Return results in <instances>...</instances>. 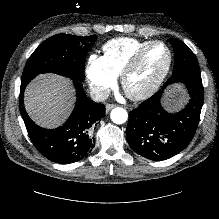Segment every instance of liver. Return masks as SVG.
Instances as JSON below:
<instances>
[{
  "mask_svg": "<svg viewBox=\"0 0 219 219\" xmlns=\"http://www.w3.org/2000/svg\"><path fill=\"white\" fill-rule=\"evenodd\" d=\"M74 99V90L68 79L42 74L26 88L24 103L33 121L42 127L54 128L69 116Z\"/></svg>",
  "mask_w": 219,
  "mask_h": 219,
  "instance_id": "6515ba94",
  "label": "liver"
}]
</instances>
